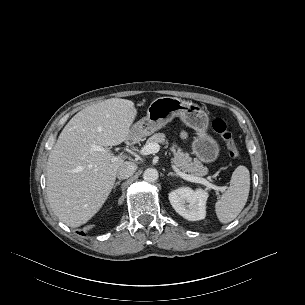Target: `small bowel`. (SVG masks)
Segmentation results:
<instances>
[{"mask_svg": "<svg viewBox=\"0 0 305 305\" xmlns=\"http://www.w3.org/2000/svg\"><path fill=\"white\" fill-rule=\"evenodd\" d=\"M180 138H181V139H185V138H186V134H185V133H181V134H180Z\"/></svg>", "mask_w": 305, "mask_h": 305, "instance_id": "obj_1", "label": "small bowel"}]
</instances>
